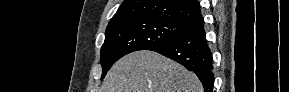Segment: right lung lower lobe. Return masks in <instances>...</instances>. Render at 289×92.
Listing matches in <instances>:
<instances>
[{"mask_svg":"<svg viewBox=\"0 0 289 92\" xmlns=\"http://www.w3.org/2000/svg\"><path fill=\"white\" fill-rule=\"evenodd\" d=\"M149 50L158 52L195 72L205 92H212V54L207 44L202 16L190 23L179 36Z\"/></svg>","mask_w":289,"mask_h":92,"instance_id":"right-lung-lower-lobe-1","label":"right lung lower lobe"}]
</instances>
